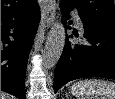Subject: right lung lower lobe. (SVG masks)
<instances>
[{"mask_svg": "<svg viewBox=\"0 0 115 99\" xmlns=\"http://www.w3.org/2000/svg\"><path fill=\"white\" fill-rule=\"evenodd\" d=\"M39 21L36 0L1 14V90L18 99H25L26 66Z\"/></svg>", "mask_w": 115, "mask_h": 99, "instance_id": "1", "label": "right lung lower lobe"}]
</instances>
